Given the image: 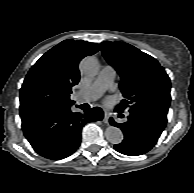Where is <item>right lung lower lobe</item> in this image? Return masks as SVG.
I'll use <instances>...</instances> for the list:
<instances>
[{
    "label": "right lung lower lobe",
    "mask_w": 194,
    "mask_h": 193,
    "mask_svg": "<svg viewBox=\"0 0 194 193\" xmlns=\"http://www.w3.org/2000/svg\"><path fill=\"white\" fill-rule=\"evenodd\" d=\"M103 111L96 107L84 114L73 113L71 104L35 114L21 116L22 129L33 149L41 156L60 160L80 145L82 127L100 121Z\"/></svg>",
    "instance_id": "obj_1"
}]
</instances>
